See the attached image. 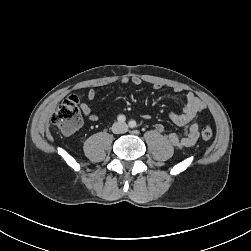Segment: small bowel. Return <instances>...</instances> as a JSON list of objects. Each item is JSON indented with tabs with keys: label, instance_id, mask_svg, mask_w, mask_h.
Masks as SVG:
<instances>
[{
	"label": "small bowel",
	"instance_id": "1",
	"mask_svg": "<svg viewBox=\"0 0 251 251\" xmlns=\"http://www.w3.org/2000/svg\"><path fill=\"white\" fill-rule=\"evenodd\" d=\"M120 83L122 85L132 84L134 86H139L142 84V80L138 76H133V77L124 76L120 79ZM153 87L154 89L159 90L162 88V85L154 84ZM174 91L176 93H180L182 92V89L176 87L174 88ZM95 97H96V90L90 89L87 92L88 100L92 101L95 99ZM80 108L83 114L86 117H88L90 121L92 122L99 121L100 116L94 113L88 104L81 103ZM204 109H205L204 102L192 92H188L186 94L183 103L182 113H176L173 111L169 112L168 114L169 119L174 124L184 129V135L182 137L178 136L176 133H170L168 135V140L174 148L178 150H185L195 145V143L198 140L200 131V122L198 121V118L200 114L204 111ZM141 118L149 119L150 116L148 114H142ZM156 130L162 132L164 131V126L162 124H157Z\"/></svg>",
	"mask_w": 251,
	"mask_h": 251
}]
</instances>
